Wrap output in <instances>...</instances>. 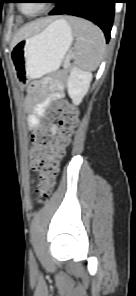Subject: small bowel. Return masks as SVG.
<instances>
[{
	"instance_id": "1",
	"label": "small bowel",
	"mask_w": 136,
	"mask_h": 296,
	"mask_svg": "<svg viewBox=\"0 0 136 296\" xmlns=\"http://www.w3.org/2000/svg\"><path fill=\"white\" fill-rule=\"evenodd\" d=\"M64 95V86L62 84H53L48 94H44L43 91L39 89L38 83L32 84L31 93L27 102V107L29 109L28 129L32 132L38 130L45 109L50 103L62 99ZM55 131L56 127H51V133L53 134Z\"/></svg>"
}]
</instances>
